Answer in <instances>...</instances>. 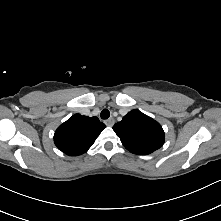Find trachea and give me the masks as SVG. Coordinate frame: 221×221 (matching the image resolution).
<instances>
[{"label":"trachea","mask_w":221,"mask_h":221,"mask_svg":"<svg viewBox=\"0 0 221 221\" xmlns=\"http://www.w3.org/2000/svg\"><path fill=\"white\" fill-rule=\"evenodd\" d=\"M102 119H108L110 116V112L108 109H103L100 114Z\"/></svg>","instance_id":"3493384b"}]
</instances>
